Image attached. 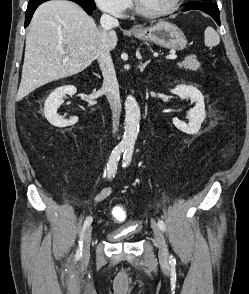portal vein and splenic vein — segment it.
Wrapping results in <instances>:
<instances>
[{"mask_svg":"<svg viewBox=\"0 0 249 294\" xmlns=\"http://www.w3.org/2000/svg\"><path fill=\"white\" fill-rule=\"evenodd\" d=\"M59 51H61V52L64 53V50H63L62 48H59ZM166 58H167V59H172V60H174V59L177 58V56H176V55H168V56H166ZM68 59H69V57H66V58H65V60H68Z\"/></svg>","mask_w":249,"mask_h":294,"instance_id":"1","label":"portal vein and splenic vein"}]
</instances>
